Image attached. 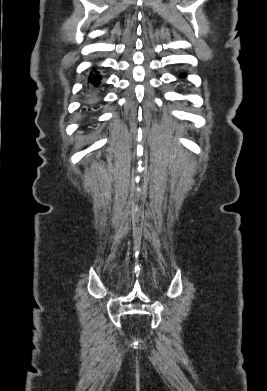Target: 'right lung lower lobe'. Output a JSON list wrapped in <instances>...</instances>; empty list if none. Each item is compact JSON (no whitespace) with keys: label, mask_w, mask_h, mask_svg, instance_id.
Masks as SVG:
<instances>
[{"label":"right lung lower lobe","mask_w":267,"mask_h":391,"mask_svg":"<svg viewBox=\"0 0 267 391\" xmlns=\"http://www.w3.org/2000/svg\"><path fill=\"white\" fill-rule=\"evenodd\" d=\"M89 82L93 87H97L101 83V76L98 74L91 73L89 77Z\"/></svg>","instance_id":"1"}]
</instances>
